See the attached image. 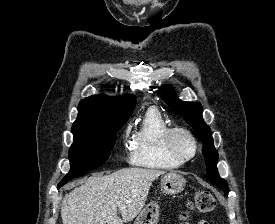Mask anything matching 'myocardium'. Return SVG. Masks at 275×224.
<instances>
[{
    "instance_id": "f54148a6",
    "label": "myocardium",
    "mask_w": 275,
    "mask_h": 224,
    "mask_svg": "<svg viewBox=\"0 0 275 224\" xmlns=\"http://www.w3.org/2000/svg\"><path fill=\"white\" fill-rule=\"evenodd\" d=\"M178 135H183L190 140L193 146V150L191 153L185 154L178 150L175 143L176 137ZM164 143L168 153L182 163L193 159L198 152V142L196 137L189 129L182 126L169 128L165 134Z\"/></svg>"
}]
</instances>
